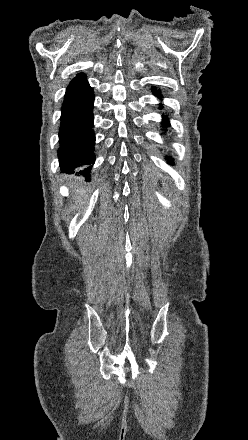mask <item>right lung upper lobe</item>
Segmentation results:
<instances>
[{"label": "right lung upper lobe", "instance_id": "obj_1", "mask_svg": "<svg viewBox=\"0 0 248 440\" xmlns=\"http://www.w3.org/2000/svg\"><path fill=\"white\" fill-rule=\"evenodd\" d=\"M85 81L87 80H86V76L83 73L77 74V76L70 82L68 87L78 85Z\"/></svg>", "mask_w": 248, "mask_h": 440}]
</instances>
